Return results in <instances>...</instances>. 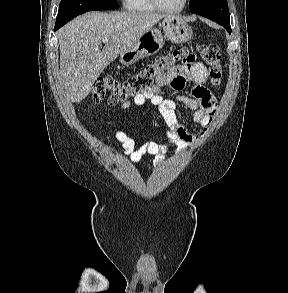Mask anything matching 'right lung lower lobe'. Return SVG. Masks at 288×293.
<instances>
[{
	"label": "right lung lower lobe",
	"mask_w": 288,
	"mask_h": 293,
	"mask_svg": "<svg viewBox=\"0 0 288 293\" xmlns=\"http://www.w3.org/2000/svg\"><path fill=\"white\" fill-rule=\"evenodd\" d=\"M62 26H55L54 30H58Z\"/></svg>",
	"instance_id": "1"
}]
</instances>
